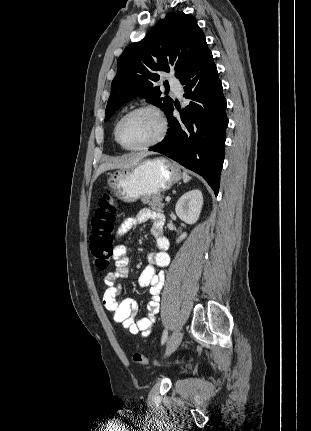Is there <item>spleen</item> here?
Here are the masks:
<instances>
[{
    "mask_svg": "<svg viewBox=\"0 0 311 431\" xmlns=\"http://www.w3.org/2000/svg\"><path fill=\"white\" fill-rule=\"evenodd\" d=\"M190 180H192L191 176H188V174H186V172H183V182H184V184H187V182H190Z\"/></svg>",
    "mask_w": 311,
    "mask_h": 431,
    "instance_id": "obj_1",
    "label": "spleen"
}]
</instances>
